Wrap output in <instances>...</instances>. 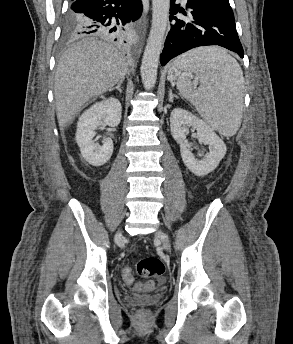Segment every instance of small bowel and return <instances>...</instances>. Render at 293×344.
I'll list each match as a JSON object with an SVG mask.
<instances>
[{"label": "small bowel", "instance_id": "obj_1", "mask_svg": "<svg viewBox=\"0 0 293 344\" xmlns=\"http://www.w3.org/2000/svg\"><path fill=\"white\" fill-rule=\"evenodd\" d=\"M125 282H126V284H128V285H130V284L133 283V281H125ZM135 289H136L137 291H143L144 287H143L142 285H136V286H135Z\"/></svg>", "mask_w": 293, "mask_h": 344}]
</instances>
